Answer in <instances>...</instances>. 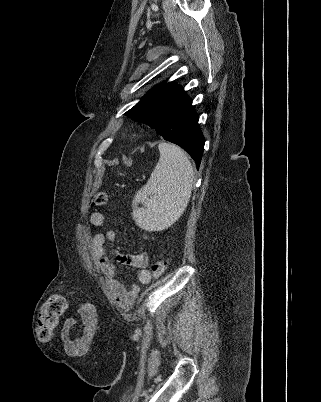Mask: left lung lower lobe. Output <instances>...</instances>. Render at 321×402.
Here are the masks:
<instances>
[{"label":"left lung lower lobe","instance_id":"left-lung-lower-lobe-1","mask_svg":"<svg viewBox=\"0 0 321 402\" xmlns=\"http://www.w3.org/2000/svg\"><path fill=\"white\" fill-rule=\"evenodd\" d=\"M154 129L165 140L187 151L199 168L205 139L192 100L181 86H176L164 99Z\"/></svg>","mask_w":321,"mask_h":402}]
</instances>
